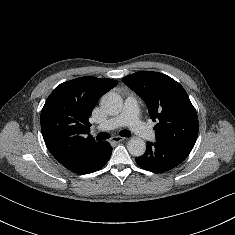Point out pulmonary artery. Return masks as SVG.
<instances>
[{"label": "pulmonary artery", "mask_w": 235, "mask_h": 235, "mask_svg": "<svg viewBox=\"0 0 235 235\" xmlns=\"http://www.w3.org/2000/svg\"><path fill=\"white\" fill-rule=\"evenodd\" d=\"M122 126H129L135 133L143 138L153 137L152 131L139 119L137 100L132 96L126 98L123 110L119 115L97 125L95 129L99 131H109Z\"/></svg>", "instance_id": "obj_1"}]
</instances>
